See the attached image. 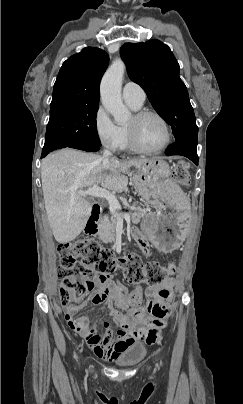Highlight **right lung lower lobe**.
<instances>
[{"mask_svg": "<svg viewBox=\"0 0 243 404\" xmlns=\"http://www.w3.org/2000/svg\"><path fill=\"white\" fill-rule=\"evenodd\" d=\"M70 148L85 150V151H89V152H95L100 149V145L87 144V143H75V144L70 145Z\"/></svg>", "mask_w": 243, "mask_h": 404, "instance_id": "obj_1", "label": "right lung lower lobe"}]
</instances>
